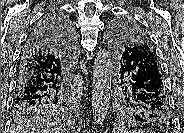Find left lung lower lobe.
<instances>
[{"label":"left lung lower lobe","instance_id":"left-lung-lower-lobe-1","mask_svg":"<svg viewBox=\"0 0 184 133\" xmlns=\"http://www.w3.org/2000/svg\"><path fill=\"white\" fill-rule=\"evenodd\" d=\"M146 69L150 67L137 66L135 71H131L128 83L133 89L134 96L139 100L147 119H162L172 123L163 78Z\"/></svg>","mask_w":184,"mask_h":133}]
</instances>
